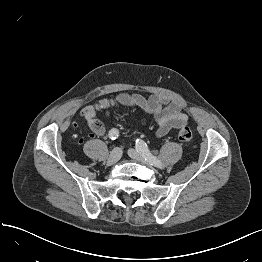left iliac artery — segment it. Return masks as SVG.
I'll use <instances>...</instances> for the list:
<instances>
[{"instance_id":"left-iliac-artery-1","label":"left iliac artery","mask_w":262,"mask_h":262,"mask_svg":"<svg viewBox=\"0 0 262 262\" xmlns=\"http://www.w3.org/2000/svg\"><path fill=\"white\" fill-rule=\"evenodd\" d=\"M136 149L151 165H154L161 169L163 168L160 160H158L154 155L151 154L147 147V144L143 140H136Z\"/></svg>"}]
</instances>
